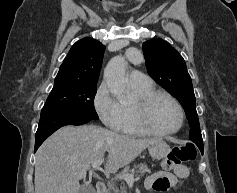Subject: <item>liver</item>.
I'll return each mask as SVG.
<instances>
[{
    "label": "liver",
    "mask_w": 237,
    "mask_h": 193,
    "mask_svg": "<svg viewBox=\"0 0 237 193\" xmlns=\"http://www.w3.org/2000/svg\"><path fill=\"white\" fill-rule=\"evenodd\" d=\"M158 140L121 135L96 125L62 127L36 153L35 193H79V180L92 163L104 160L106 152L105 168L116 172Z\"/></svg>",
    "instance_id": "1"
}]
</instances>
